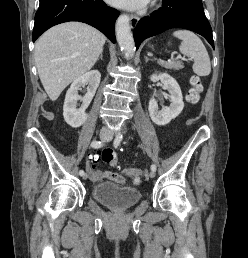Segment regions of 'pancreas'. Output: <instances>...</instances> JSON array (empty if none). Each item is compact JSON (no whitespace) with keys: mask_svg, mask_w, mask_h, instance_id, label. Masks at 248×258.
Wrapping results in <instances>:
<instances>
[{"mask_svg":"<svg viewBox=\"0 0 248 258\" xmlns=\"http://www.w3.org/2000/svg\"><path fill=\"white\" fill-rule=\"evenodd\" d=\"M159 63L166 69L179 70V69L184 68L183 63L180 61H171V62H166V63L159 62Z\"/></svg>","mask_w":248,"mask_h":258,"instance_id":"cf45deb5","label":"pancreas"}]
</instances>
